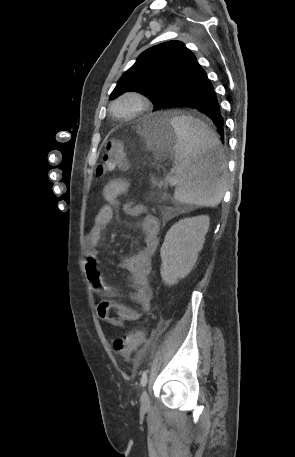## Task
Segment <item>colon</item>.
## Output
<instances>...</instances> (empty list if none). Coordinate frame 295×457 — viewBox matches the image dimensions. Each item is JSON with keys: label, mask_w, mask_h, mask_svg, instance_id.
Here are the masks:
<instances>
[{"label": "colon", "mask_w": 295, "mask_h": 457, "mask_svg": "<svg viewBox=\"0 0 295 457\" xmlns=\"http://www.w3.org/2000/svg\"><path fill=\"white\" fill-rule=\"evenodd\" d=\"M128 167V155L123 148L121 141L109 140L105 147L102 163L97 168V174L115 170H125ZM145 341V334L141 330H135L124 337L113 341V348L124 357H132L135 351Z\"/></svg>", "instance_id": "5ec220e1"}]
</instances>
